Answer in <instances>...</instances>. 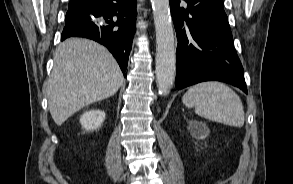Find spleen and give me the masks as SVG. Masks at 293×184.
<instances>
[{"label": "spleen", "mask_w": 293, "mask_h": 184, "mask_svg": "<svg viewBox=\"0 0 293 184\" xmlns=\"http://www.w3.org/2000/svg\"><path fill=\"white\" fill-rule=\"evenodd\" d=\"M183 104L205 119L225 125L242 127L245 114L240 97L229 86L207 81L192 86L182 98Z\"/></svg>", "instance_id": "1"}]
</instances>
